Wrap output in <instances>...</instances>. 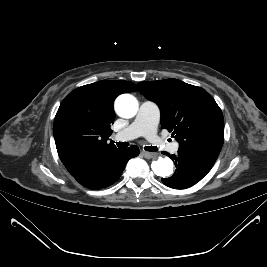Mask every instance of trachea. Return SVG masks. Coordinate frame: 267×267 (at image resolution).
Masks as SVG:
<instances>
[{
    "label": "trachea",
    "mask_w": 267,
    "mask_h": 267,
    "mask_svg": "<svg viewBox=\"0 0 267 267\" xmlns=\"http://www.w3.org/2000/svg\"><path fill=\"white\" fill-rule=\"evenodd\" d=\"M117 146L120 147V148H126L129 146V143L128 142H116ZM144 149L146 151H150V152H154V151H157L158 148L155 147V146H145Z\"/></svg>",
    "instance_id": "obj_1"
}]
</instances>
